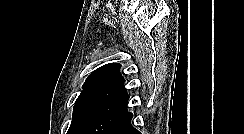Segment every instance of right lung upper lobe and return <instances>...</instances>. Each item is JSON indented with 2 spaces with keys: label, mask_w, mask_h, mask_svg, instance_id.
I'll return each instance as SVG.
<instances>
[{
  "label": "right lung upper lobe",
  "mask_w": 244,
  "mask_h": 134,
  "mask_svg": "<svg viewBox=\"0 0 244 134\" xmlns=\"http://www.w3.org/2000/svg\"><path fill=\"white\" fill-rule=\"evenodd\" d=\"M120 67L118 63H109L93 71L82 86L83 91L74 108L93 101H128L129 96L124 87L125 80L119 72Z\"/></svg>",
  "instance_id": "cb5924a9"
}]
</instances>
